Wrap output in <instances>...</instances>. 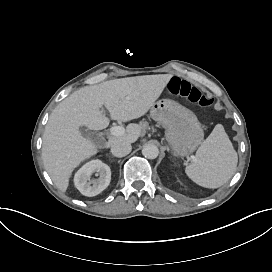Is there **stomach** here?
I'll return each instance as SVG.
<instances>
[{"instance_id":"1","label":"stomach","mask_w":272,"mask_h":272,"mask_svg":"<svg viewBox=\"0 0 272 272\" xmlns=\"http://www.w3.org/2000/svg\"><path fill=\"white\" fill-rule=\"evenodd\" d=\"M151 116L165 128V139L174 156L186 157L202 144L204 130L186 107L172 100H160L152 106Z\"/></svg>"}]
</instances>
